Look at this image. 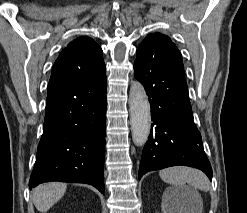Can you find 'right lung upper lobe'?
I'll use <instances>...</instances> for the list:
<instances>
[{"instance_id": "obj_1", "label": "right lung upper lobe", "mask_w": 247, "mask_h": 213, "mask_svg": "<svg viewBox=\"0 0 247 213\" xmlns=\"http://www.w3.org/2000/svg\"><path fill=\"white\" fill-rule=\"evenodd\" d=\"M102 54V49L92 38L75 39L55 61L48 90L105 71Z\"/></svg>"}]
</instances>
